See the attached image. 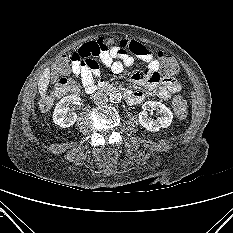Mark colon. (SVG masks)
I'll use <instances>...</instances> for the list:
<instances>
[{
    "label": "colon",
    "mask_w": 233,
    "mask_h": 233,
    "mask_svg": "<svg viewBox=\"0 0 233 233\" xmlns=\"http://www.w3.org/2000/svg\"><path fill=\"white\" fill-rule=\"evenodd\" d=\"M117 46V37H104L103 45L100 48L113 49ZM94 52V49L92 50ZM157 59L160 64V72L164 76H171L178 72L179 66L177 61L170 55L159 51L156 54ZM68 60L66 57H61L57 60L55 65V72L53 77L57 78L59 75L67 71ZM78 91V86L75 81L67 79L65 77H60L57 79L55 88L50 92L47 102L50 103L54 99L63 96L68 93H76ZM172 107L176 116L180 119L187 117V103L179 95H175L172 99Z\"/></svg>",
    "instance_id": "colon-1"
}]
</instances>
